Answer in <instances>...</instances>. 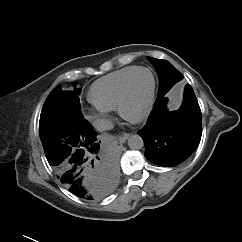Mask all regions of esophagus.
Masks as SVG:
<instances>
[{"mask_svg":"<svg viewBox=\"0 0 242 242\" xmlns=\"http://www.w3.org/2000/svg\"><path fill=\"white\" fill-rule=\"evenodd\" d=\"M129 136V133H124L121 136H119L118 140L120 141V143H125Z\"/></svg>","mask_w":242,"mask_h":242,"instance_id":"34e87169","label":"esophagus"}]
</instances>
